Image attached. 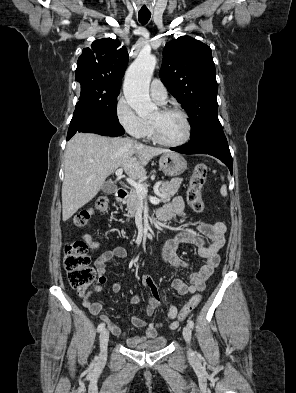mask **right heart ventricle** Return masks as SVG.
I'll return each instance as SVG.
<instances>
[{
    "label": "right heart ventricle",
    "instance_id": "1",
    "mask_svg": "<svg viewBox=\"0 0 296 393\" xmlns=\"http://www.w3.org/2000/svg\"><path fill=\"white\" fill-rule=\"evenodd\" d=\"M149 126H150V125H149ZM147 136H148V137H151V126H150L149 133H148Z\"/></svg>",
    "mask_w": 296,
    "mask_h": 393
}]
</instances>
